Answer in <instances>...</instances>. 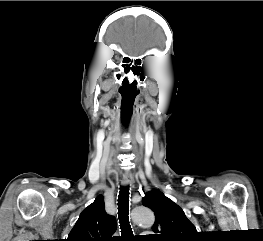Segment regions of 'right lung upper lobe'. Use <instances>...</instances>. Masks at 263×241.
<instances>
[{
	"instance_id": "1",
	"label": "right lung upper lobe",
	"mask_w": 263,
	"mask_h": 241,
	"mask_svg": "<svg viewBox=\"0 0 263 241\" xmlns=\"http://www.w3.org/2000/svg\"><path fill=\"white\" fill-rule=\"evenodd\" d=\"M116 220L105 211L101 195L85 208L66 241H115Z\"/></svg>"
}]
</instances>
